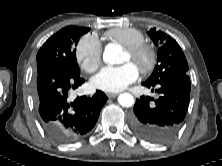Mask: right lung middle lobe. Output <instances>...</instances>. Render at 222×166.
Here are the masks:
<instances>
[{
    "mask_svg": "<svg viewBox=\"0 0 222 166\" xmlns=\"http://www.w3.org/2000/svg\"><path fill=\"white\" fill-rule=\"evenodd\" d=\"M89 30L86 27L70 25L52 35L38 51L37 74L51 68H64L80 74L75 46L80 37Z\"/></svg>",
    "mask_w": 222,
    "mask_h": 166,
    "instance_id": "1",
    "label": "right lung middle lobe"
}]
</instances>
